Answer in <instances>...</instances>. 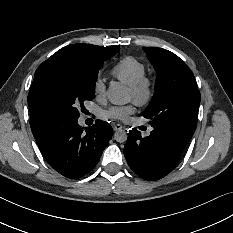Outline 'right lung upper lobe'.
Masks as SVG:
<instances>
[{
    "mask_svg": "<svg viewBox=\"0 0 233 233\" xmlns=\"http://www.w3.org/2000/svg\"><path fill=\"white\" fill-rule=\"evenodd\" d=\"M119 46L99 47L89 44H71L61 48L49 59L68 58L87 66L102 65L103 62L119 51Z\"/></svg>",
    "mask_w": 233,
    "mask_h": 233,
    "instance_id": "1",
    "label": "right lung upper lobe"
}]
</instances>
